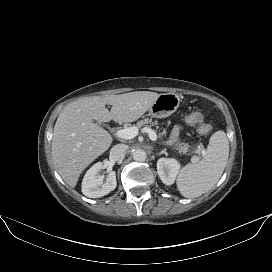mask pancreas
I'll return each mask as SVG.
<instances>
[{
    "mask_svg": "<svg viewBox=\"0 0 272 272\" xmlns=\"http://www.w3.org/2000/svg\"><path fill=\"white\" fill-rule=\"evenodd\" d=\"M147 125H150V126H156L158 128V123L157 121H154V122H151V120L149 119H144V120H141L137 123V128H141L142 126H147ZM165 134V131L159 133V136L162 137L163 135ZM189 145L187 143H180L176 149L179 151V153H187L188 149H189Z\"/></svg>",
    "mask_w": 272,
    "mask_h": 272,
    "instance_id": "obj_1",
    "label": "pancreas"
}]
</instances>
